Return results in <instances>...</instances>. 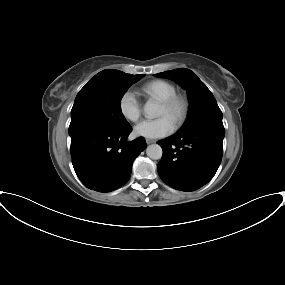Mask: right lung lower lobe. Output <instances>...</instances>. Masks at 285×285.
Wrapping results in <instances>:
<instances>
[{
  "mask_svg": "<svg viewBox=\"0 0 285 285\" xmlns=\"http://www.w3.org/2000/svg\"><path fill=\"white\" fill-rule=\"evenodd\" d=\"M131 131L130 125L118 130L89 125L70 134L72 164L87 188L110 192L129 180L133 161L146 148L142 137L127 142Z\"/></svg>",
  "mask_w": 285,
  "mask_h": 285,
  "instance_id": "obj_1",
  "label": "right lung lower lobe"
}]
</instances>
